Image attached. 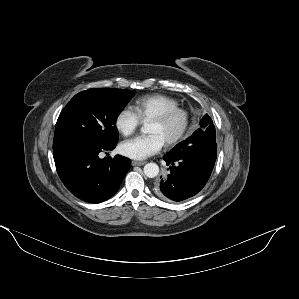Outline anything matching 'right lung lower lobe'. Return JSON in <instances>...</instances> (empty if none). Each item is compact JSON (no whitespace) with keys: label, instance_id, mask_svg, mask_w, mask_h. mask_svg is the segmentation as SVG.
I'll return each instance as SVG.
<instances>
[{"label":"right lung lower lobe","instance_id":"obj_1","mask_svg":"<svg viewBox=\"0 0 299 299\" xmlns=\"http://www.w3.org/2000/svg\"><path fill=\"white\" fill-rule=\"evenodd\" d=\"M115 146L75 144L53 150L56 169L65 187L90 203L113 196L131 166L130 160L120 155L99 158L100 152L113 150Z\"/></svg>","mask_w":299,"mask_h":299}]
</instances>
